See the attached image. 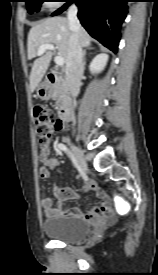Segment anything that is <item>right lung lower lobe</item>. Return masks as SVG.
Instances as JSON below:
<instances>
[{
    "label": "right lung lower lobe",
    "instance_id": "right-lung-lower-lobe-1",
    "mask_svg": "<svg viewBox=\"0 0 158 275\" xmlns=\"http://www.w3.org/2000/svg\"><path fill=\"white\" fill-rule=\"evenodd\" d=\"M128 0H66L52 15L61 14L71 3L79 8L78 18L88 33L105 47L117 52L120 27L127 14Z\"/></svg>",
    "mask_w": 158,
    "mask_h": 275
}]
</instances>
